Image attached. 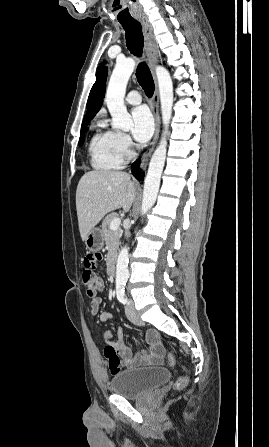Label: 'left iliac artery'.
Segmentation results:
<instances>
[{
	"instance_id": "obj_1",
	"label": "left iliac artery",
	"mask_w": 269,
	"mask_h": 447,
	"mask_svg": "<svg viewBox=\"0 0 269 447\" xmlns=\"http://www.w3.org/2000/svg\"><path fill=\"white\" fill-rule=\"evenodd\" d=\"M125 285H126L125 282H121V283H118V284L116 285L117 299H118L122 304H126V303L128 302V301H127L126 294H125Z\"/></svg>"
}]
</instances>
